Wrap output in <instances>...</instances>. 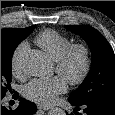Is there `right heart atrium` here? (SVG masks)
I'll use <instances>...</instances> for the list:
<instances>
[{
  "label": "right heart atrium",
  "mask_w": 115,
  "mask_h": 115,
  "mask_svg": "<svg viewBox=\"0 0 115 115\" xmlns=\"http://www.w3.org/2000/svg\"><path fill=\"white\" fill-rule=\"evenodd\" d=\"M27 50L28 44L26 42H21L12 53L10 67L12 74L17 78L23 76V59Z\"/></svg>",
  "instance_id": "obj_1"
}]
</instances>
